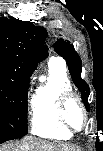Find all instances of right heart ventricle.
<instances>
[{
	"label": "right heart ventricle",
	"mask_w": 103,
	"mask_h": 151,
	"mask_svg": "<svg viewBox=\"0 0 103 151\" xmlns=\"http://www.w3.org/2000/svg\"><path fill=\"white\" fill-rule=\"evenodd\" d=\"M72 91L65 67L57 61L48 64V78L33 92L30 100L31 132L48 139L66 140L71 132L57 119V104L62 93Z\"/></svg>",
	"instance_id": "obj_1"
}]
</instances>
